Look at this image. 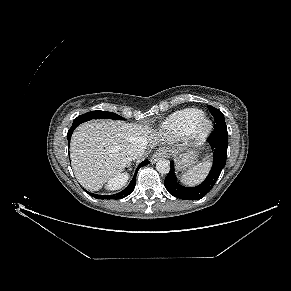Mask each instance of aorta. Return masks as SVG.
Wrapping results in <instances>:
<instances>
[{
	"label": "aorta",
	"instance_id": "obj_1",
	"mask_svg": "<svg viewBox=\"0 0 291 291\" xmlns=\"http://www.w3.org/2000/svg\"><path fill=\"white\" fill-rule=\"evenodd\" d=\"M156 169L159 173L167 174L170 171V164L167 160H159L156 163Z\"/></svg>",
	"mask_w": 291,
	"mask_h": 291
}]
</instances>
